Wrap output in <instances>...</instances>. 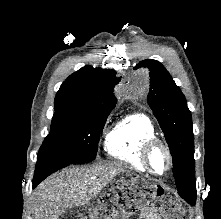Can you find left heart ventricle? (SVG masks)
<instances>
[{
	"label": "left heart ventricle",
	"mask_w": 221,
	"mask_h": 219,
	"mask_svg": "<svg viewBox=\"0 0 221 219\" xmlns=\"http://www.w3.org/2000/svg\"><path fill=\"white\" fill-rule=\"evenodd\" d=\"M151 164L156 172L158 173L165 172L168 166V159L162 148L157 147L152 151Z\"/></svg>",
	"instance_id": "b2bd125f"
}]
</instances>
